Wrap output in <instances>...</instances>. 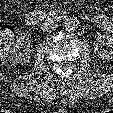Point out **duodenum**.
I'll return each mask as SVG.
<instances>
[{"label":"duodenum","instance_id":"1","mask_svg":"<svg viewBox=\"0 0 113 113\" xmlns=\"http://www.w3.org/2000/svg\"><path fill=\"white\" fill-rule=\"evenodd\" d=\"M66 16L62 10H37L27 13L24 16L26 25H34L38 21H60Z\"/></svg>","mask_w":113,"mask_h":113}]
</instances>
